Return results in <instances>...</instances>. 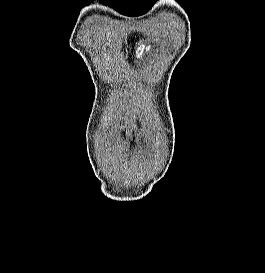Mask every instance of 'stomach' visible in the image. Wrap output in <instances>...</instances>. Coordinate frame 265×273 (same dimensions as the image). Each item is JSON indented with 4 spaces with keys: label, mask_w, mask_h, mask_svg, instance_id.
Masks as SVG:
<instances>
[{
    "label": "stomach",
    "mask_w": 265,
    "mask_h": 273,
    "mask_svg": "<svg viewBox=\"0 0 265 273\" xmlns=\"http://www.w3.org/2000/svg\"><path fill=\"white\" fill-rule=\"evenodd\" d=\"M148 48H150V49H148ZM147 51L149 53L152 51V47H150V43L148 41L140 42L138 44L137 50H136L137 55L140 56V58H142L147 53Z\"/></svg>",
    "instance_id": "obj_1"
}]
</instances>
